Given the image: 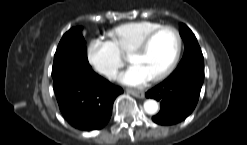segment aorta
Instances as JSON below:
<instances>
[{
	"label": "aorta",
	"instance_id": "762f6f07",
	"mask_svg": "<svg viewBox=\"0 0 247 145\" xmlns=\"http://www.w3.org/2000/svg\"><path fill=\"white\" fill-rule=\"evenodd\" d=\"M159 104L157 101L148 99L144 102V110L147 114L154 115L158 112Z\"/></svg>",
	"mask_w": 247,
	"mask_h": 145
}]
</instances>
